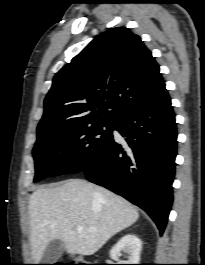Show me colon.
<instances>
[{"label": "colon", "instance_id": "obj_1", "mask_svg": "<svg viewBox=\"0 0 205 265\" xmlns=\"http://www.w3.org/2000/svg\"><path fill=\"white\" fill-rule=\"evenodd\" d=\"M85 261L81 257H77L73 260L72 264H53V265H90V264H84Z\"/></svg>", "mask_w": 205, "mask_h": 265}]
</instances>
